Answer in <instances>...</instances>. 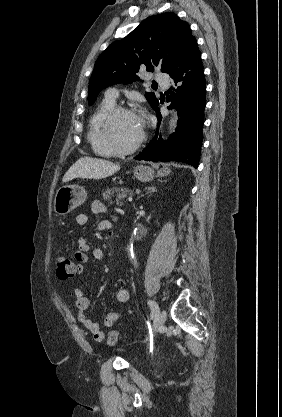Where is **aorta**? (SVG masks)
I'll return each mask as SVG.
<instances>
[{
  "mask_svg": "<svg viewBox=\"0 0 282 417\" xmlns=\"http://www.w3.org/2000/svg\"><path fill=\"white\" fill-rule=\"evenodd\" d=\"M176 122H177V114L176 112H174L171 120H170V124H169V130L170 132H172L173 128H175L176 126Z\"/></svg>",
  "mask_w": 282,
  "mask_h": 417,
  "instance_id": "obj_1",
  "label": "aorta"
}]
</instances>
